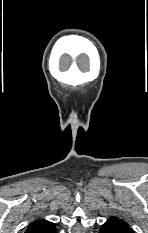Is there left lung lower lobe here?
<instances>
[{
	"instance_id": "obj_1",
	"label": "left lung lower lobe",
	"mask_w": 148,
	"mask_h": 233,
	"mask_svg": "<svg viewBox=\"0 0 148 233\" xmlns=\"http://www.w3.org/2000/svg\"><path fill=\"white\" fill-rule=\"evenodd\" d=\"M100 233H112V231L106 230V231H100Z\"/></svg>"
}]
</instances>
